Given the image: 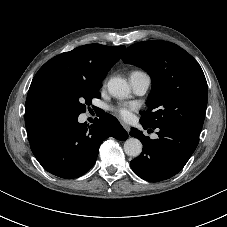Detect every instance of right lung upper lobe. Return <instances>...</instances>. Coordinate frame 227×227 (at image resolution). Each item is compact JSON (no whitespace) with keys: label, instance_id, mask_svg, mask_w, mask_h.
<instances>
[{"label":"right lung upper lobe","instance_id":"cb5924a9","mask_svg":"<svg viewBox=\"0 0 227 227\" xmlns=\"http://www.w3.org/2000/svg\"><path fill=\"white\" fill-rule=\"evenodd\" d=\"M125 48L88 44L46 62L33 78L26 99L25 124L29 141L64 120L60 93L65 87L76 82H101Z\"/></svg>","mask_w":227,"mask_h":227}]
</instances>
